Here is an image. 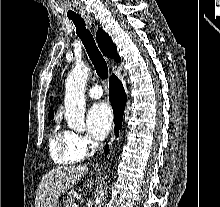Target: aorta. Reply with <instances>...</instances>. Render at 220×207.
I'll return each mask as SVG.
<instances>
[{
    "label": "aorta",
    "mask_w": 220,
    "mask_h": 207,
    "mask_svg": "<svg viewBox=\"0 0 220 207\" xmlns=\"http://www.w3.org/2000/svg\"><path fill=\"white\" fill-rule=\"evenodd\" d=\"M89 68L84 64H76L65 82V119L68 127L76 131L85 130V85ZM106 183L100 185L96 202L101 207L106 195Z\"/></svg>",
    "instance_id": "obj_1"
}]
</instances>
